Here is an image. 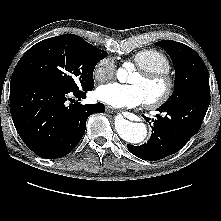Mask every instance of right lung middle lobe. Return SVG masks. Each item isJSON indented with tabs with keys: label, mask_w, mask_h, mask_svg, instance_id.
Returning <instances> with one entry per match:
<instances>
[{
	"label": "right lung middle lobe",
	"mask_w": 221,
	"mask_h": 221,
	"mask_svg": "<svg viewBox=\"0 0 221 221\" xmlns=\"http://www.w3.org/2000/svg\"><path fill=\"white\" fill-rule=\"evenodd\" d=\"M106 55L81 37L65 34L32 46L14 73L30 74L68 91L91 90L95 66Z\"/></svg>",
	"instance_id": "1"
}]
</instances>
